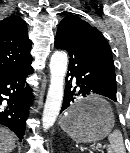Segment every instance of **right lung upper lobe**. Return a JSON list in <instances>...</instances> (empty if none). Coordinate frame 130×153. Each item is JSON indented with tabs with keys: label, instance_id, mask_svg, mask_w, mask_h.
Instances as JSON below:
<instances>
[{
	"label": "right lung upper lobe",
	"instance_id": "1",
	"mask_svg": "<svg viewBox=\"0 0 130 153\" xmlns=\"http://www.w3.org/2000/svg\"><path fill=\"white\" fill-rule=\"evenodd\" d=\"M26 22L15 15L0 21V73L19 70L32 62Z\"/></svg>",
	"mask_w": 130,
	"mask_h": 153
}]
</instances>
